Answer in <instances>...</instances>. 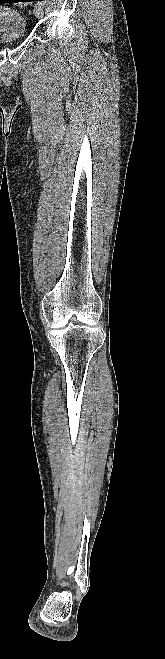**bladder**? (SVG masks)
Returning a JSON list of instances; mask_svg holds the SVG:
<instances>
[{
  "instance_id": "31cf9c89",
  "label": "bladder",
  "mask_w": 165,
  "mask_h": 659,
  "mask_svg": "<svg viewBox=\"0 0 165 659\" xmlns=\"http://www.w3.org/2000/svg\"><path fill=\"white\" fill-rule=\"evenodd\" d=\"M26 35L22 19L12 10L0 8V41L19 39Z\"/></svg>"
}]
</instances>
